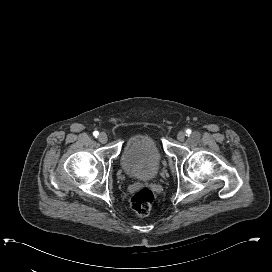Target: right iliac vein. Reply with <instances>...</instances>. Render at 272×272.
I'll list each match as a JSON object with an SVG mask.
<instances>
[{
  "mask_svg": "<svg viewBox=\"0 0 272 272\" xmlns=\"http://www.w3.org/2000/svg\"><path fill=\"white\" fill-rule=\"evenodd\" d=\"M98 140L101 142V143H106L108 141V136L106 133L102 132L100 133V135L98 136Z\"/></svg>",
  "mask_w": 272,
  "mask_h": 272,
  "instance_id": "63e3f726",
  "label": "right iliac vein"
}]
</instances>
